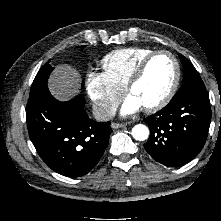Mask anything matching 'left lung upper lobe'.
I'll use <instances>...</instances> for the list:
<instances>
[{"instance_id":"5c2ea615","label":"left lung upper lobe","mask_w":221,"mask_h":221,"mask_svg":"<svg viewBox=\"0 0 221 221\" xmlns=\"http://www.w3.org/2000/svg\"><path fill=\"white\" fill-rule=\"evenodd\" d=\"M179 57L183 65V81L181 88L172 99L191 92L206 91L204 83L192 63L181 54H179Z\"/></svg>"}]
</instances>
